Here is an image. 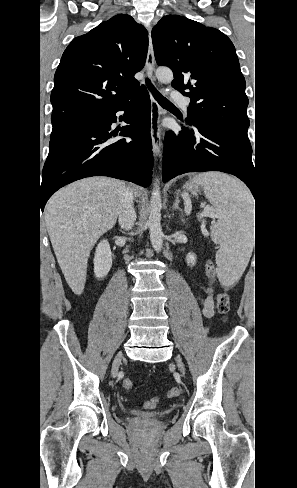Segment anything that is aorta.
<instances>
[{
    "instance_id": "1",
    "label": "aorta",
    "mask_w": 297,
    "mask_h": 488,
    "mask_svg": "<svg viewBox=\"0 0 297 488\" xmlns=\"http://www.w3.org/2000/svg\"><path fill=\"white\" fill-rule=\"evenodd\" d=\"M156 77L162 83H170L173 80V73L169 68H158ZM161 208L162 200L159 188V179L154 181V188L150 200V214L148 225L150 230V241L153 249L160 252L163 248V232L161 228Z\"/></svg>"
}]
</instances>
